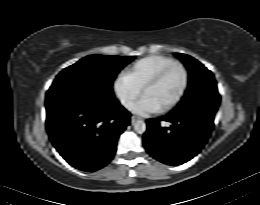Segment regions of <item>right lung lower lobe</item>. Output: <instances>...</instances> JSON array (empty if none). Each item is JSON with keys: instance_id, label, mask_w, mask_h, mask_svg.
<instances>
[{"instance_id": "right-lung-lower-lobe-1", "label": "right lung lower lobe", "mask_w": 260, "mask_h": 205, "mask_svg": "<svg viewBox=\"0 0 260 205\" xmlns=\"http://www.w3.org/2000/svg\"><path fill=\"white\" fill-rule=\"evenodd\" d=\"M46 127L60 155L73 167L96 171L113 158L130 113L116 99L60 85L46 95Z\"/></svg>"}]
</instances>
